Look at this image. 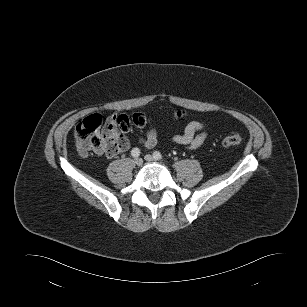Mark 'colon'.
Masks as SVG:
<instances>
[{"instance_id": "5ec220e1", "label": "colon", "mask_w": 307, "mask_h": 307, "mask_svg": "<svg viewBox=\"0 0 307 307\" xmlns=\"http://www.w3.org/2000/svg\"><path fill=\"white\" fill-rule=\"evenodd\" d=\"M148 122L147 117L142 113L132 115L119 114L108 119L106 122L101 115L93 114L80 121L74 130L76 146L80 154L86 155L89 152H107L109 150L106 136L107 128L112 125L121 133L129 132L133 127L142 128ZM242 137L238 133L227 135L222 140L225 148L239 145Z\"/></svg>"}]
</instances>
